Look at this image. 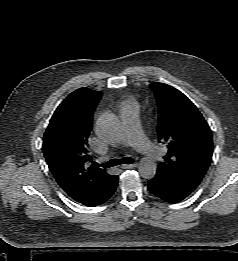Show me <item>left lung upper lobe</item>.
Here are the masks:
<instances>
[{
    "label": "left lung upper lobe",
    "instance_id": "5c2ea615",
    "mask_svg": "<svg viewBox=\"0 0 238 261\" xmlns=\"http://www.w3.org/2000/svg\"><path fill=\"white\" fill-rule=\"evenodd\" d=\"M150 86L157 102L158 137L168 148L157 172L194 191L212 161L210 127L182 92L158 82Z\"/></svg>",
    "mask_w": 238,
    "mask_h": 261
}]
</instances>
